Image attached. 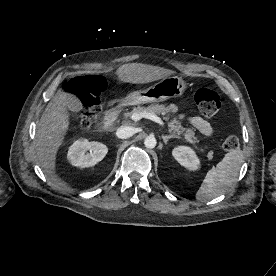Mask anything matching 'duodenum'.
I'll return each mask as SVG.
<instances>
[{
	"label": "duodenum",
	"mask_w": 276,
	"mask_h": 276,
	"mask_svg": "<svg viewBox=\"0 0 276 276\" xmlns=\"http://www.w3.org/2000/svg\"><path fill=\"white\" fill-rule=\"evenodd\" d=\"M123 105H116L110 108L106 114L104 120L99 124L97 131L99 133L107 132L116 122L120 112L123 110Z\"/></svg>",
	"instance_id": "1"
}]
</instances>
